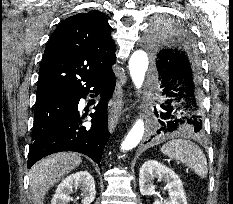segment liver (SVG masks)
Returning <instances> with one entry per match:
<instances>
[{"label":"liver","mask_w":233,"mask_h":204,"mask_svg":"<svg viewBox=\"0 0 233 204\" xmlns=\"http://www.w3.org/2000/svg\"><path fill=\"white\" fill-rule=\"evenodd\" d=\"M82 162L77 153L60 152L37 162L29 173V186L33 204H44L48 190Z\"/></svg>","instance_id":"6515ba94"}]
</instances>
